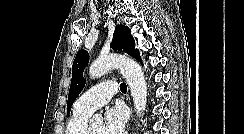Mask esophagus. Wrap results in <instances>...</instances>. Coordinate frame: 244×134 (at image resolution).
<instances>
[{"instance_id": "esophagus-1", "label": "esophagus", "mask_w": 244, "mask_h": 134, "mask_svg": "<svg viewBox=\"0 0 244 134\" xmlns=\"http://www.w3.org/2000/svg\"><path fill=\"white\" fill-rule=\"evenodd\" d=\"M128 101H129V106H130L131 111H132V107H131V103H130V100H129V96H128ZM131 121H132V119H131ZM129 127H130V124H129Z\"/></svg>"}]
</instances>
